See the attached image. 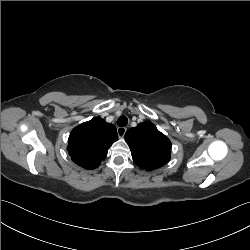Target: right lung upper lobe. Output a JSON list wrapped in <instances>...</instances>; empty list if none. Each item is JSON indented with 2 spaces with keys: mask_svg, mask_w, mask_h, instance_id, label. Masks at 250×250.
Segmentation results:
<instances>
[{
  "mask_svg": "<svg viewBox=\"0 0 250 250\" xmlns=\"http://www.w3.org/2000/svg\"><path fill=\"white\" fill-rule=\"evenodd\" d=\"M117 140L116 127L95 117L72 130L67 150L76 164L86 169H95Z\"/></svg>",
  "mask_w": 250,
  "mask_h": 250,
  "instance_id": "cb5924a9",
  "label": "right lung upper lobe"
}]
</instances>
